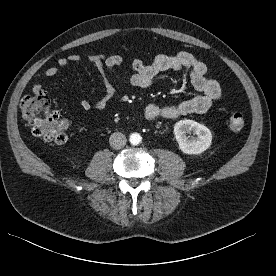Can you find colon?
<instances>
[{
	"instance_id": "colon-1",
	"label": "colon",
	"mask_w": 276,
	"mask_h": 276,
	"mask_svg": "<svg viewBox=\"0 0 276 276\" xmlns=\"http://www.w3.org/2000/svg\"><path fill=\"white\" fill-rule=\"evenodd\" d=\"M20 109L24 122L35 136L56 145L67 141L69 123L52 107L51 98L47 92L41 91L24 97ZM244 125L245 119L241 113L230 115L228 127L231 131L238 132Z\"/></svg>"
}]
</instances>
